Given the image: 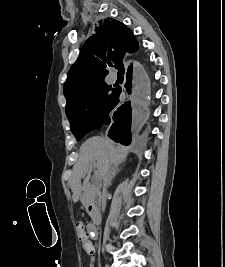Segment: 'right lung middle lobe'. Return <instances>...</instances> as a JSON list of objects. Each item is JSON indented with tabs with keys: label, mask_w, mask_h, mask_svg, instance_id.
I'll list each match as a JSON object with an SVG mask.
<instances>
[{
	"label": "right lung middle lobe",
	"mask_w": 225,
	"mask_h": 267,
	"mask_svg": "<svg viewBox=\"0 0 225 267\" xmlns=\"http://www.w3.org/2000/svg\"><path fill=\"white\" fill-rule=\"evenodd\" d=\"M117 87L105 82L91 85L66 104V115L77 140L99 128L115 100Z\"/></svg>",
	"instance_id": "1"
}]
</instances>
